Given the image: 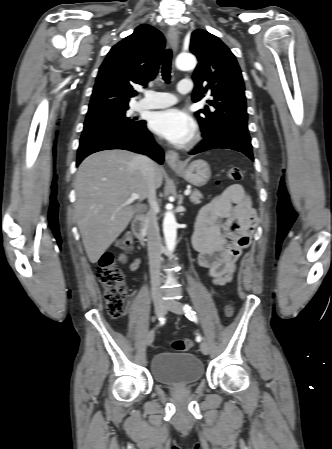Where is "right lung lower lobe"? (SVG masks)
<instances>
[{
  "label": "right lung lower lobe",
  "instance_id": "right-lung-lower-lobe-1",
  "mask_svg": "<svg viewBox=\"0 0 332 449\" xmlns=\"http://www.w3.org/2000/svg\"><path fill=\"white\" fill-rule=\"evenodd\" d=\"M109 149H123L150 156L162 164L163 151L156 145L152 134L147 130L145 123L138 129L129 132L114 130L94 131L83 134L78 148L77 163L88 155Z\"/></svg>",
  "mask_w": 332,
  "mask_h": 449
}]
</instances>
